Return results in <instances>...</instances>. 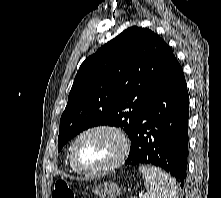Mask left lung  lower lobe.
Masks as SVG:
<instances>
[{"label": "left lung lower lobe", "instance_id": "obj_1", "mask_svg": "<svg viewBox=\"0 0 221 198\" xmlns=\"http://www.w3.org/2000/svg\"><path fill=\"white\" fill-rule=\"evenodd\" d=\"M188 101L184 73L174 56L164 80L144 104L130 137V153L125 165L153 164L165 169L177 180H184L187 168Z\"/></svg>", "mask_w": 221, "mask_h": 198}]
</instances>
